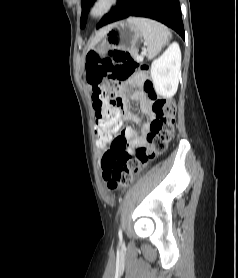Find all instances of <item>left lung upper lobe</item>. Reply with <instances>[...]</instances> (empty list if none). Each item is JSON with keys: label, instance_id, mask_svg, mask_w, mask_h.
Returning <instances> with one entry per match:
<instances>
[{"label": "left lung upper lobe", "instance_id": "1", "mask_svg": "<svg viewBox=\"0 0 238 278\" xmlns=\"http://www.w3.org/2000/svg\"><path fill=\"white\" fill-rule=\"evenodd\" d=\"M92 0H82L81 5H82V15L80 19V26L84 27V24L86 23V18H87V13L89 11L90 3Z\"/></svg>", "mask_w": 238, "mask_h": 278}]
</instances>
